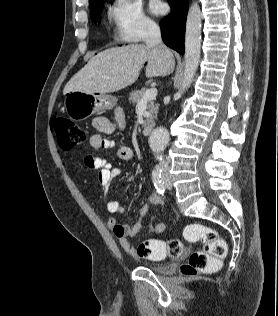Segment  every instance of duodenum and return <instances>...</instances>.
<instances>
[{"instance_id":"410a0bca","label":"duodenum","mask_w":278,"mask_h":316,"mask_svg":"<svg viewBox=\"0 0 278 316\" xmlns=\"http://www.w3.org/2000/svg\"><path fill=\"white\" fill-rule=\"evenodd\" d=\"M154 126L152 124L145 125L143 127V134L150 135L153 132Z\"/></svg>"}]
</instances>
